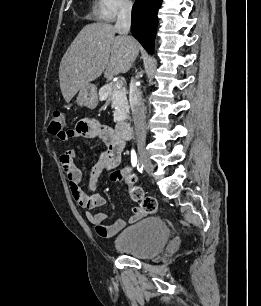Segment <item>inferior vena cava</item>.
I'll list each match as a JSON object with an SVG mask.
<instances>
[{"label": "inferior vena cava", "mask_w": 261, "mask_h": 306, "mask_svg": "<svg viewBox=\"0 0 261 306\" xmlns=\"http://www.w3.org/2000/svg\"><path fill=\"white\" fill-rule=\"evenodd\" d=\"M131 9L132 5L128 1L120 4L119 13L114 29L120 35H128L131 26ZM129 101L132 111L134 126L137 134L145 136V113L144 103L142 100L141 92L138 89L134 78L130 81L129 86Z\"/></svg>", "instance_id": "inferior-vena-cava-1"}]
</instances>
